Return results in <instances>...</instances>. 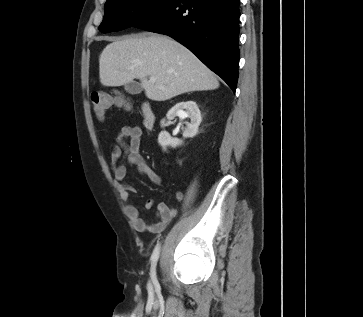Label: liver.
Listing matches in <instances>:
<instances>
[{"label":"liver","instance_id":"6515ba94","mask_svg":"<svg viewBox=\"0 0 363 317\" xmlns=\"http://www.w3.org/2000/svg\"><path fill=\"white\" fill-rule=\"evenodd\" d=\"M99 76L101 84L108 87L139 79L145 95L154 101L219 87L214 73L191 51L156 34L125 37L108 44L99 57ZM148 77H154L155 82Z\"/></svg>","mask_w":363,"mask_h":317}]
</instances>
